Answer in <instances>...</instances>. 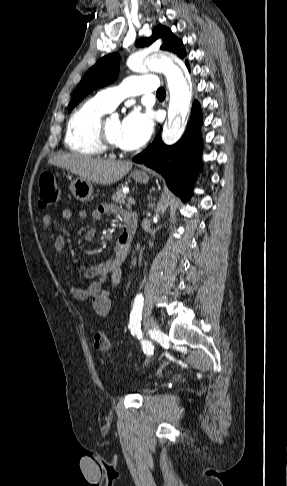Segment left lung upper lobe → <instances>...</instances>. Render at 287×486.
I'll return each instance as SVG.
<instances>
[{"label": "left lung upper lobe", "mask_w": 287, "mask_h": 486, "mask_svg": "<svg viewBox=\"0 0 287 486\" xmlns=\"http://www.w3.org/2000/svg\"><path fill=\"white\" fill-rule=\"evenodd\" d=\"M158 38L163 39L161 50L175 53L180 58L186 56L183 43L173 35L171 30L163 25H157L149 38H141L136 42L139 47L149 46ZM119 73V55L109 54L101 58L83 76L68 105L70 112L86 95L93 90L108 85L116 80Z\"/></svg>", "instance_id": "1"}]
</instances>
